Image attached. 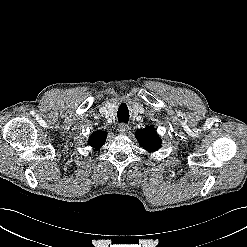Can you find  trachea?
Instances as JSON below:
<instances>
[{"label":"trachea","instance_id":"1","mask_svg":"<svg viewBox=\"0 0 247 247\" xmlns=\"http://www.w3.org/2000/svg\"><path fill=\"white\" fill-rule=\"evenodd\" d=\"M119 122L127 123L129 120V111L125 104H122L117 112Z\"/></svg>","mask_w":247,"mask_h":247}]
</instances>
